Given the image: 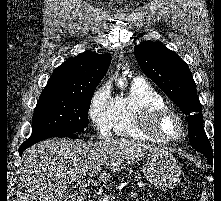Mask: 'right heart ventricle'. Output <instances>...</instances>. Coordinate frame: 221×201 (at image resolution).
Listing matches in <instances>:
<instances>
[{
    "label": "right heart ventricle",
    "instance_id": "obj_1",
    "mask_svg": "<svg viewBox=\"0 0 221 201\" xmlns=\"http://www.w3.org/2000/svg\"><path fill=\"white\" fill-rule=\"evenodd\" d=\"M166 105L163 97L144 81H135L126 96L115 98L113 131L123 137L155 141L138 128L141 113L150 106Z\"/></svg>",
    "mask_w": 221,
    "mask_h": 201
}]
</instances>
